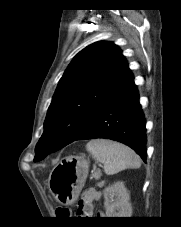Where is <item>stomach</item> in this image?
<instances>
[{
	"instance_id": "1",
	"label": "stomach",
	"mask_w": 181,
	"mask_h": 227,
	"mask_svg": "<svg viewBox=\"0 0 181 227\" xmlns=\"http://www.w3.org/2000/svg\"><path fill=\"white\" fill-rule=\"evenodd\" d=\"M89 162L84 156L62 159L51 171L48 187L53 197L62 205L74 203L84 187Z\"/></svg>"
}]
</instances>
